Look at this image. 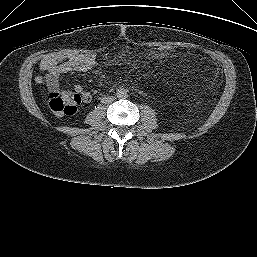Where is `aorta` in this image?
<instances>
[{
  "label": "aorta",
  "instance_id": "obj_1",
  "mask_svg": "<svg viewBox=\"0 0 257 257\" xmlns=\"http://www.w3.org/2000/svg\"><path fill=\"white\" fill-rule=\"evenodd\" d=\"M116 95L118 99H126L128 97V93L125 89H118Z\"/></svg>",
  "mask_w": 257,
  "mask_h": 257
}]
</instances>
